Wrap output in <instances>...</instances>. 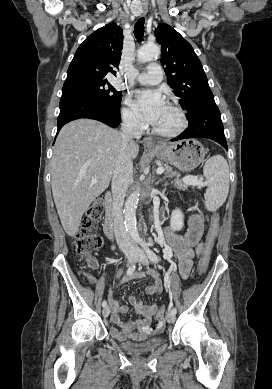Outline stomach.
Returning <instances> with one entry per match:
<instances>
[{
  "mask_svg": "<svg viewBox=\"0 0 272 389\" xmlns=\"http://www.w3.org/2000/svg\"><path fill=\"white\" fill-rule=\"evenodd\" d=\"M150 153L174 165L183 172H190L203 161L206 150L195 139H185L170 145H160Z\"/></svg>",
  "mask_w": 272,
  "mask_h": 389,
  "instance_id": "1",
  "label": "stomach"
}]
</instances>
